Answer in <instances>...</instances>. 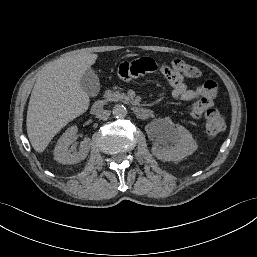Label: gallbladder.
<instances>
[{"mask_svg":"<svg viewBox=\"0 0 257 257\" xmlns=\"http://www.w3.org/2000/svg\"><path fill=\"white\" fill-rule=\"evenodd\" d=\"M82 89L88 96L95 97L100 91V82L97 74L91 68L87 69L80 80Z\"/></svg>","mask_w":257,"mask_h":257,"instance_id":"bac80fb5","label":"gallbladder"}]
</instances>
